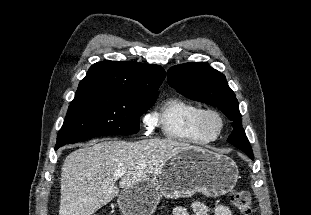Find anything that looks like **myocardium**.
I'll return each instance as SVG.
<instances>
[{
    "label": "myocardium",
    "mask_w": 311,
    "mask_h": 215,
    "mask_svg": "<svg viewBox=\"0 0 311 215\" xmlns=\"http://www.w3.org/2000/svg\"><path fill=\"white\" fill-rule=\"evenodd\" d=\"M210 118H214L217 122V128L215 130H211L208 126V120ZM224 124L225 121L222 114L215 109H203L196 121L198 131L212 140L221 134Z\"/></svg>",
    "instance_id": "obj_1"
}]
</instances>
